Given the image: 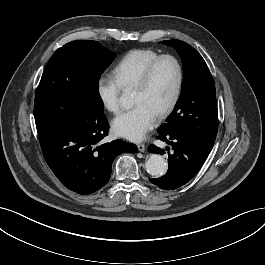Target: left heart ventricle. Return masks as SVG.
Segmentation results:
<instances>
[{"instance_id":"left-heart-ventricle-1","label":"left heart ventricle","mask_w":265,"mask_h":265,"mask_svg":"<svg viewBox=\"0 0 265 265\" xmlns=\"http://www.w3.org/2000/svg\"><path fill=\"white\" fill-rule=\"evenodd\" d=\"M177 83V69L171 60L161 61L155 68L148 87L133 90V105L143 104L156 115L172 99Z\"/></svg>"}]
</instances>
